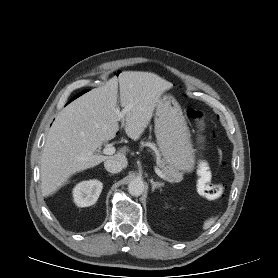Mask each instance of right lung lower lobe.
I'll return each instance as SVG.
<instances>
[{"label": "right lung lower lobe", "mask_w": 278, "mask_h": 278, "mask_svg": "<svg viewBox=\"0 0 278 278\" xmlns=\"http://www.w3.org/2000/svg\"><path fill=\"white\" fill-rule=\"evenodd\" d=\"M83 93H85V92L83 91V92L79 93L78 95L75 96V98L78 97V96H80V95L83 94Z\"/></svg>", "instance_id": "98d812e1"}]
</instances>
